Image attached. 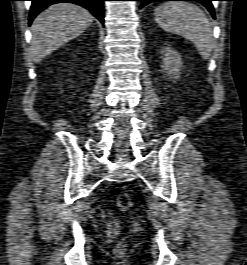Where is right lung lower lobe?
<instances>
[{
  "instance_id": "1",
  "label": "right lung lower lobe",
  "mask_w": 247,
  "mask_h": 265,
  "mask_svg": "<svg viewBox=\"0 0 247 265\" xmlns=\"http://www.w3.org/2000/svg\"><path fill=\"white\" fill-rule=\"evenodd\" d=\"M32 1L29 24L32 23L33 19L49 5L68 2L80 5L89 10L102 24H104V8L103 3L105 0H30Z\"/></svg>"
}]
</instances>
